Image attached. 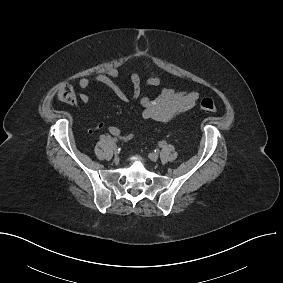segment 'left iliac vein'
<instances>
[{
	"label": "left iliac vein",
	"mask_w": 283,
	"mask_h": 283,
	"mask_svg": "<svg viewBox=\"0 0 283 283\" xmlns=\"http://www.w3.org/2000/svg\"><path fill=\"white\" fill-rule=\"evenodd\" d=\"M148 157L153 162H156L158 160V158H159L158 154H156V153H149Z\"/></svg>",
	"instance_id": "1"
}]
</instances>
